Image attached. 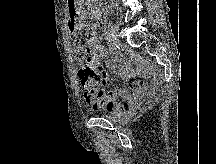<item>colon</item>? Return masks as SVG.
Returning <instances> with one entry per match:
<instances>
[{
	"label": "colon",
	"mask_w": 216,
	"mask_h": 164,
	"mask_svg": "<svg viewBox=\"0 0 216 164\" xmlns=\"http://www.w3.org/2000/svg\"><path fill=\"white\" fill-rule=\"evenodd\" d=\"M79 76L83 88L87 91L98 88L103 79L102 72L87 59L80 68Z\"/></svg>",
	"instance_id": "5ec220e1"
}]
</instances>
